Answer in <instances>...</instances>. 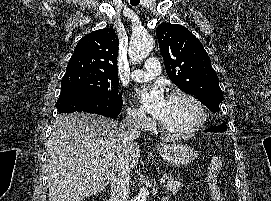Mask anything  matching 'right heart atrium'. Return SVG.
<instances>
[{
	"label": "right heart atrium",
	"mask_w": 271,
	"mask_h": 201,
	"mask_svg": "<svg viewBox=\"0 0 271 201\" xmlns=\"http://www.w3.org/2000/svg\"><path fill=\"white\" fill-rule=\"evenodd\" d=\"M128 119L130 122L135 124L138 127L145 128L148 126V118L145 113L137 107L128 108Z\"/></svg>",
	"instance_id": "obj_1"
}]
</instances>
